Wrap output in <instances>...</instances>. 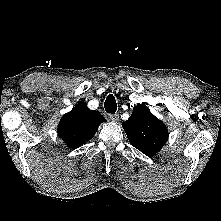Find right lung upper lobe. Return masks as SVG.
Returning <instances> with one entry per match:
<instances>
[{"label": "right lung upper lobe", "mask_w": 221, "mask_h": 221, "mask_svg": "<svg viewBox=\"0 0 221 221\" xmlns=\"http://www.w3.org/2000/svg\"><path fill=\"white\" fill-rule=\"evenodd\" d=\"M102 122L106 119L98 111L90 110L85 102H80L62 117L58 135L68 147L74 149L93 138Z\"/></svg>", "instance_id": "right-lung-upper-lobe-1"}]
</instances>
